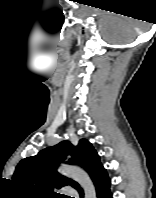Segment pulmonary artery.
<instances>
[{
    "mask_svg": "<svg viewBox=\"0 0 156 198\" xmlns=\"http://www.w3.org/2000/svg\"><path fill=\"white\" fill-rule=\"evenodd\" d=\"M66 189H72V187H67Z\"/></svg>",
    "mask_w": 156,
    "mask_h": 198,
    "instance_id": "pulmonary-artery-1",
    "label": "pulmonary artery"
}]
</instances>
